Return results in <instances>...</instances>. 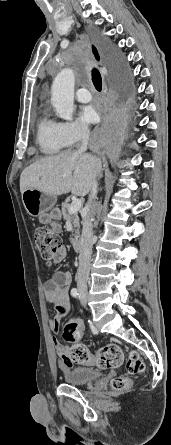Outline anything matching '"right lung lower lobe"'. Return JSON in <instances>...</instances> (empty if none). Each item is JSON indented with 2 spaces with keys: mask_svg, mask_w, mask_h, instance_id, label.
<instances>
[{
  "mask_svg": "<svg viewBox=\"0 0 171 445\" xmlns=\"http://www.w3.org/2000/svg\"><path fill=\"white\" fill-rule=\"evenodd\" d=\"M107 58L115 74L114 92L109 99V115L101 130L93 133L90 148L99 156L116 159L131 119L132 85L124 68L121 55L106 47Z\"/></svg>",
  "mask_w": 171,
  "mask_h": 445,
  "instance_id": "obj_1",
  "label": "right lung lower lobe"
}]
</instances>
